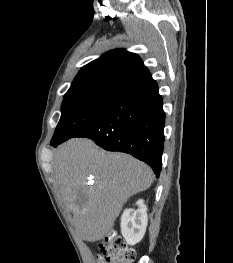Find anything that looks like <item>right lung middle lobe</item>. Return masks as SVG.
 Segmentation results:
<instances>
[{
    "label": "right lung middle lobe",
    "instance_id": "obj_1",
    "mask_svg": "<svg viewBox=\"0 0 233 263\" xmlns=\"http://www.w3.org/2000/svg\"><path fill=\"white\" fill-rule=\"evenodd\" d=\"M116 97V94L110 93L65 95L61 107L62 115L52 140H67L74 137L98 120Z\"/></svg>",
    "mask_w": 233,
    "mask_h": 263
}]
</instances>
